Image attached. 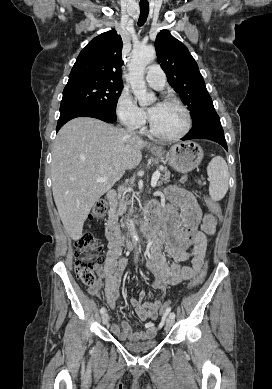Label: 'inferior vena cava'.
<instances>
[{"mask_svg":"<svg viewBox=\"0 0 272 389\" xmlns=\"http://www.w3.org/2000/svg\"><path fill=\"white\" fill-rule=\"evenodd\" d=\"M127 130H128V132H129L130 134H132V131H133L134 129L131 128V127H129Z\"/></svg>","mask_w":272,"mask_h":389,"instance_id":"inferior-vena-cava-1","label":"inferior vena cava"}]
</instances>
